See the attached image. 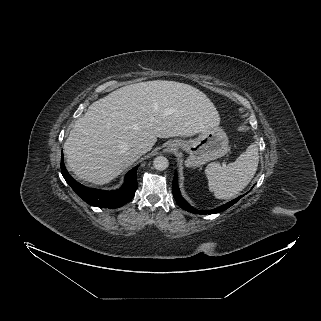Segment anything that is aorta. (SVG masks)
Masks as SVG:
<instances>
[{
	"instance_id": "1",
	"label": "aorta",
	"mask_w": 321,
	"mask_h": 321,
	"mask_svg": "<svg viewBox=\"0 0 321 321\" xmlns=\"http://www.w3.org/2000/svg\"><path fill=\"white\" fill-rule=\"evenodd\" d=\"M153 166L159 171H163L168 168L169 162L168 159L164 156H158L153 161Z\"/></svg>"
}]
</instances>
